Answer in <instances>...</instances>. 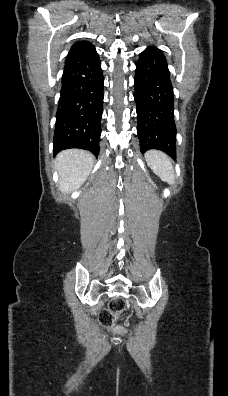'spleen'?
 Here are the masks:
<instances>
[{"label":"spleen","mask_w":228,"mask_h":396,"mask_svg":"<svg viewBox=\"0 0 228 396\" xmlns=\"http://www.w3.org/2000/svg\"><path fill=\"white\" fill-rule=\"evenodd\" d=\"M145 159L148 166L162 181L174 184L175 172L173 164L165 153L158 150H150L145 154Z\"/></svg>","instance_id":"3e777b00"}]
</instances>
